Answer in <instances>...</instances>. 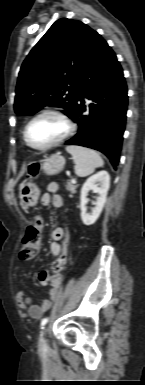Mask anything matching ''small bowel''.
Returning <instances> with one entry per match:
<instances>
[{
  "mask_svg": "<svg viewBox=\"0 0 145 385\" xmlns=\"http://www.w3.org/2000/svg\"><path fill=\"white\" fill-rule=\"evenodd\" d=\"M58 189H59V186L57 183L55 182L49 183L47 185V192L43 194L40 198V203L43 206L51 205L55 208L62 207L63 199L59 194H57ZM51 238H52V242L50 244V251L53 255L57 256V259L55 260V262L58 261L62 256H64L65 265H66L67 243L69 238L66 229L61 226L55 227L51 233ZM53 265H52V269H53ZM61 273L62 272L60 273L54 272L53 274H51L47 270L41 271L38 274V282L42 286H46V285L50 286L48 291V298L44 299L41 304L37 305L32 303L31 299L25 294L24 291H19L16 297L18 307L23 311H27L30 317L40 318L43 315V313L49 309L53 299L55 298V296L57 295L61 287V284H62Z\"/></svg>",
  "mask_w": 145,
  "mask_h": 385,
  "instance_id": "c3829d8e",
  "label": "small bowel"
}]
</instances>
